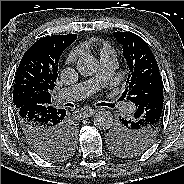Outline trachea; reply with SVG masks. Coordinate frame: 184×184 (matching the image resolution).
Instances as JSON below:
<instances>
[{
    "label": "trachea",
    "mask_w": 184,
    "mask_h": 184,
    "mask_svg": "<svg viewBox=\"0 0 184 184\" xmlns=\"http://www.w3.org/2000/svg\"><path fill=\"white\" fill-rule=\"evenodd\" d=\"M99 105L101 106H106V107H115V104H112V103H99Z\"/></svg>",
    "instance_id": "3493384b"
}]
</instances>
